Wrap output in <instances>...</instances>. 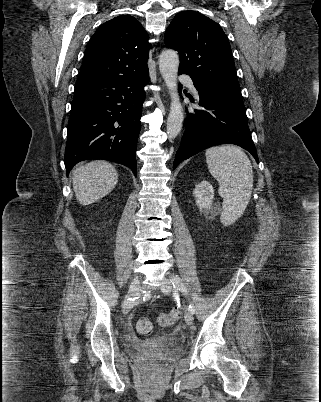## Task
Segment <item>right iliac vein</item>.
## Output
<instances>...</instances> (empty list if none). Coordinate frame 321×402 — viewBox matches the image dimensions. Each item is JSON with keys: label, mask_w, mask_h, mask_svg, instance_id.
I'll use <instances>...</instances> for the list:
<instances>
[{"label": "right iliac vein", "mask_w": 321, "mask_h": 402, "mask_svg": "<svg viewBox=\"0 0 321 402\" xmlns=\"http://www.w3.org/2000/svg\"><path fill=\"white\" fill-rule=\"evenodd\" d=\"M139 286H140V279L138 277H135L129 286L126 300L123 303V313L124 314H127L130 311V309L132 308V302L128 299H133L138 295Z\"/></svg>", "instance_id": "63e3f726"}]
</instances>
